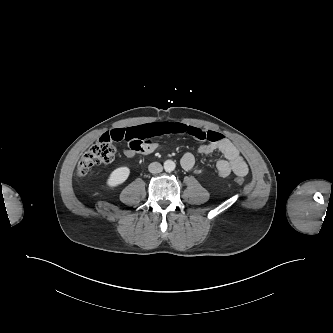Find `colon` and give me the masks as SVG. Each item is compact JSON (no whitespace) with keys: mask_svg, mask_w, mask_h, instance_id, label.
I'll list each match as a JSON object with an SVG mask.
<instances>
[{"mask_svg":"<svg viewBox=\"0 0 333 333\" xmlns=\"http://www.w3.org/2000/svg\"><path fill=\"white\" fill-rule=\"evenodd\" d=\"M114 156L115 148L111 140L102 136L82 156L77 168L78 176L85 177L90 175L95 166L111 162ZM235 181L239 185L244 183V180L239 177Z\"/></svg>","mask_w":333,"mask_h":333,"instance_id":"colon-1","label":"colon"}]
</instances>
